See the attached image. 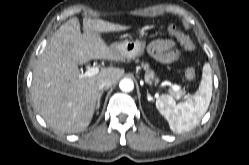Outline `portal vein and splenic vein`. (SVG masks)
<instances>
[{
	"mask_svg": "<svg viewBox=\"0 0 249 165\" xmlns=\"http://www.w3.org/2000/svg\"><path fill=\"white\" fill-rule=\"evenodd\" d=\"M99 73V68L98 67H91L89 68L85 73L81 74V77H91ZM172 90L176 93L179 92L180 87L178 85H172L171 86Z\"/></svg>",
	"mask_w": 249,
	"mask_h": 165,
	"instance_id": "1",
	"label": "portal vein and splenic vein"
}]
</instances>
